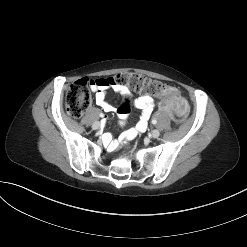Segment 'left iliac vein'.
Here are the masks:
<instances>
[{
    "label": "left iliac vein",
    "instance_id": "left-iliac-vein-1",
    "mask_svg": "<svg viewBox=\"0 0 247 247\" xmlns=\"http://www.w3.org/2000/svg\"><path fill=\"white\" fill-rule=\"evenodd\" d=\"M159 135H160L159 130L154 129V130L151 131V136H152L153 138H158Z\"/></svg>",
    "mask_w": 247,
    "mask_h": 247
}]
</instances>
